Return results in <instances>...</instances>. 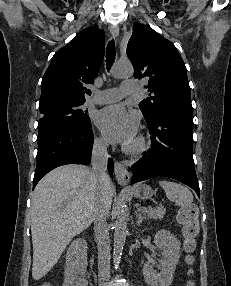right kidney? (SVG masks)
<instances>
[{"mask_svg":"<svg viewBox=\"0 0 231 286\" xmlns=\"http://www.w3.org/2000/svg\"><path fill=\"white\" fill-rule=\"evenodd\" d=\"M85 250L86 242L83 239L73 241L68 248L63 286H88L87 280L83 277L88 265Z\"/></svg>","mask_w":231,"mask_h":286,"instance_id":"1","label":"right kidney"}]
</instances>
